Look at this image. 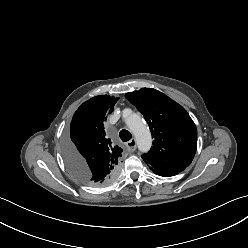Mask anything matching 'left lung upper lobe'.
I'll return each instance as SVG.
<instances>
[{
    "mask_svg": "<svg viewBox=\"0 0 248 248\" xmlns=\"http://www.w3.org/2000/svg\"><path fill=\"white\" fill-rule=\"evenodd\" d=\"M125 97L143 114L153 146L143 160L157 170L185 169L197 148V129L187 111L152 88L129 92Z\"/></svg>",
    "mask_w": 248,
    "mask_h": 248,
    "instance_id": "1",
    "label": "left lung upper lobe"
}]
</instances>
